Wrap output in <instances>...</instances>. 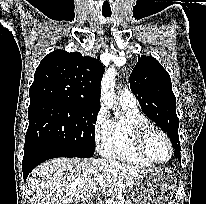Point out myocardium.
Here are the masks:
<instances>
[{"label":"myocardium","mask_w":206,"mask_h":204,"mask_svg":"<svg viewBox=\"0 0 206 204\" xmlns=\"http://www.w3.org/2000/svg\"><path fill=\"white\" fill-rule=\"evenodd\" d=\"M152 133H157L160 136H162L168 145L169 156L165 161H157V160L153 159L151 157V155L148 153V150L146 147V142H147L148 137ZM135 145H136L138 152L142 155V157H144L147 161H149L153 165L167 164L172 159L173 154H174L173 145H172V142H171L169 136L163 130H161L160 128L153 126L151 124L145 125L136 131Z\"/></svg>","instance_id":"1"}]
</instances>
